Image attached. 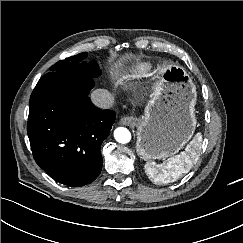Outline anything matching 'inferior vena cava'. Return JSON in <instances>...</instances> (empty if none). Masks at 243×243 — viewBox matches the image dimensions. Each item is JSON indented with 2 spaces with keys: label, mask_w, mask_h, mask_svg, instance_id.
I'll use <instances>...</instances> for the list:
<instances>
[{
  "label": "inferior vena cava",
  "mask_w": 243,
  "mask_h": 243,
  "mask_svg": "<svg viewBox=\"0 0 243 243\" xmlns=\"http://www.w3.org/2000/svg\"><path fill=\"white\" fill-rule=\"evenodd\" d=\"M92 103L102 109H109L113 106L114 97L105 89H96L91 93Z\"/></svg>",
  "instance_id": "1"
}]
</instances>
